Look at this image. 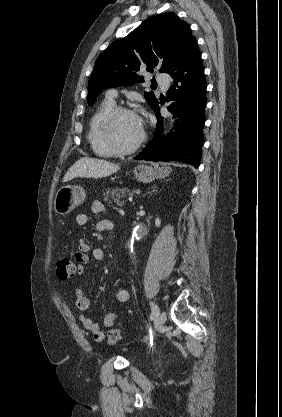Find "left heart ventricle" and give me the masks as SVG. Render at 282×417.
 I'll use <instances>...</instances> for the list:
<instances>
[{
	"label": "left heart ventricle",
	"mask_w": 282,
	"mask_h": 417,
	"mask_svg": "<svg viewBox=\"0 0 282 417\" xmlns=\"http://www.w3.org/2000/svg\"><path fill=\"white\" fill-rule=\"evenodd\" d=\"M103 121L99 124L102 133ZM142 125L138 117L124 114L119 116L112 127V138L119 145H130L137 141L141 135Z\"/></svg>",
	"instance_id": "b2bd125f"
}]
</instances>
